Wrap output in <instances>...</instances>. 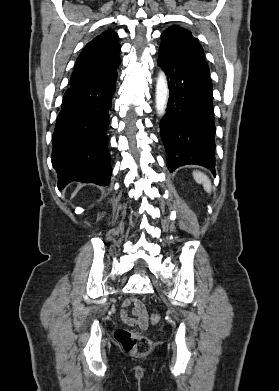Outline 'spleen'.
<instances>
[{"instance_id":"1","label":"spleen","mask_w":279,"mask_h":391,"mask_svg":"<svg viewBox=\"0 0 279 391\" xmlns=\"http://www.w3.org/2000/svg\"><path fill=\"white\" fill-rule=\"evenodd\" d=\"M193 177H194V180L198 184H202L203 185L204 190L206 192L211 193V181H210V179L208 178L207 175H205L204 173H202L200 171H194L193 172Z\"/></svg>"}]
</instances>
